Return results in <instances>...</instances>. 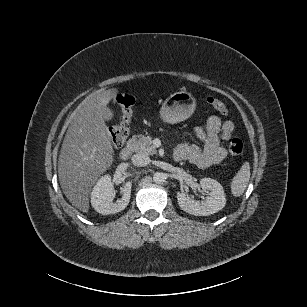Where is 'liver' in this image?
I'll return each mask as SVG.
<instances>
[{"instance_id": "obj_1", "label": "liver", "mask_w": 307, "mask_h": 307, "mask_svg": "<svg viewBox=\"0 0 307 307\" xmlns=\"http://www.w3.org/2000/svg\"><path fill=\"white\" fill-rule=\"evenodd\" d=\"M117 89L97 92L84 99L72 113L58 160L63 193L80 211L89 210V195L97 179L113 163V146L105 124L107 104Z\"/></svg>"}]
</instances>
